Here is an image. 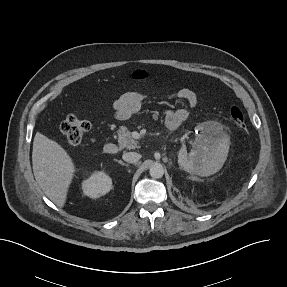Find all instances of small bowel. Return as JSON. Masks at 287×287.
Wrapping results in <instances>:
<instances>
[{
	"label": "small bowel",
	"mask_w": 287,
	"mask_h": 287,
	"mask_svg": "<svg viewBox=\"0 0 287 287\" xmlns=\"http://www.w3.org/2000/svg\"><path fill=\"white\" fill-rule=\"evenodd\" d=\"M171 98L185 101L189 107L199 104L198 95L191 89L181 88L171 94ZM145 96L139 92H126L114 103L116 116L120 120H127L136 114L143 106ZM189 116L186 108H171L165 112V125L168 129L178 128Z\"/></svg>",
	"instance_id": "small-bowel-1"
}]
</instances>
